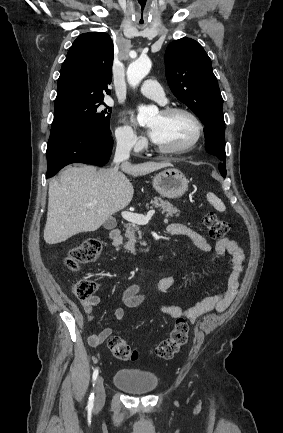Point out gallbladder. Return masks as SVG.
<instances>
[{"mask_svg":"<svg viewBox=\"0 0 283 433\" xmlns=\"http://www.w3.org/2000/svg\"><path fill=\"white\" fill-rule=\"evenodd\" d=\"M116 225H117L116 221H107L104 227L105 229H115Z\"/></svg>","mask_w":283,"mask_h":433,"instance_id":"bac80fb5","label":"gallbladder"}]
</instances>
